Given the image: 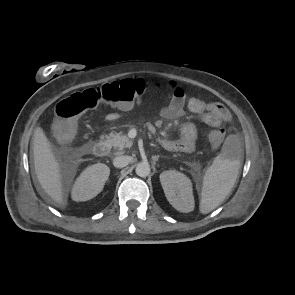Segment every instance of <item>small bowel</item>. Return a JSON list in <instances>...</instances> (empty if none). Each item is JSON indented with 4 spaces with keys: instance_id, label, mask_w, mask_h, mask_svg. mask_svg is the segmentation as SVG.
<instances>
[{
    "instance_id": "small-bowel-1",
    "label": "small bowel",
    "mask_w": 295,
    "mask_h": 295,
    "mask_svg": "<svg viewBox=\"0 0 295 295\" xmlns=\"http://www.w3.org/2000/svg\"><path fill=\"white\" fill-rule=\"evenodd\" d=\"M172 97L168 106L160 112V121L176 120L184 117L187 111L200 115L201 120L212 127H218L230 122L231 114L228 109L219 102H206L198 97L186 98L183 89L176 83L170 82ZM120 109V108H119ZM129 109H120L127 111ZM118 112L106 115L107 121H115L120 118ZM197 131L192 123L185 124L181 129L178 139L162 138L160 144L169 151L192 153L195 149Z\"/></svg>"
}]
</instances>
